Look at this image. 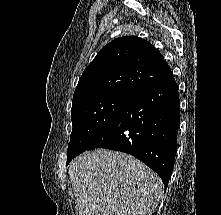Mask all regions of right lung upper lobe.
<instances>
[{
  "mask_svg": "<svg viewBox=\"0 0 221 215\" xmlns=\"http://www.w3.org/2000/svg\"><path fill=\"white\" fill-rule=\"evenodd\" d=\"M171 71L162 55L136 36L104 46L84 70L72 105L109 95L133 97Z\"/></svg>",
  "mask_w": 221,
  "mask_h": 215,
  "instance_id": "obj_1",
  "label": "right lung upper lobe"
}]
</instances>
